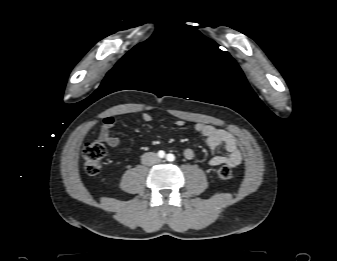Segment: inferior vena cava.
Segmentation results:
<instances>
[{
  "label": "inferior vena cava",
  "instance_id": "602c4592",
  "mask_svg": "<svg viewBox=\"0 0 337 261\" xmlns=\"http://www.w3.org/2000/svg\"><path fill=\"white\" fill-rule=\"evenodd\" d=\"M141 161H142V164H144L146 166H152L154 164L159 163L160 159H159V157L157 156L156 153L147 152V153L142 155Z\"/></svg>",
  "mask_w": 337,
  "mask_h": 261
}]
</instances>
